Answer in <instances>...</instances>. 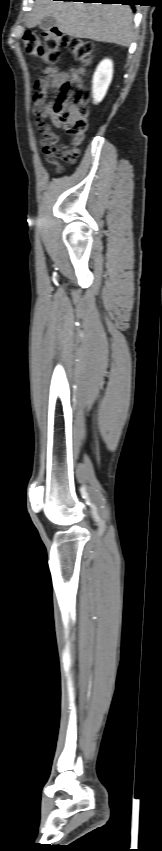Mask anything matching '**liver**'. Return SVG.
Listing matches in <instances>:
<instances>
[{"instance_id":"1","label":"liver","mask_w":162,"mask_h":851,"mask_svg":"<svg viewBox=\"0 0 162 851\" xmlns=\"http://www.w3.org/2000/svg\"><path fill=\"white\" fill-rule=\"evenodd\" d=\"M48 16L69 36L128 47L133 40V14L127 5L36 0L26 23L33 28Z\"/></svg>"}]
</instances>
